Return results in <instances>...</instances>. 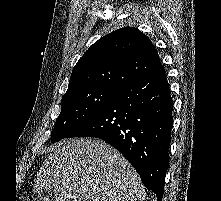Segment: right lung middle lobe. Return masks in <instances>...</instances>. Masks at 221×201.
I'll use <instances>...</instances> for the list:
<instances>
[{
  "label": "right lung middle lobe",
  "mask_w": 221,
  "mask_h": 201,
  "mask_svg": "<svg viewBox=\"0 0 221 201\" xmlns=\"http://www.w3.org/2000/svg\"><path fill=\"white\" fill-rule=\"evenodd\" d=\"M119 90L108 87H89L67 92L61 100V112L51 135V142L66 138L99 110Z\"/></svg>",
  "instance_id": "right-lung-middle-lobe-1"
}]
</instances>
